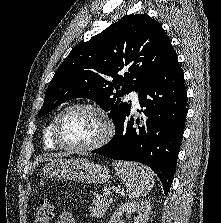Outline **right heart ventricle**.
I'll return each instance as SVG.
<instances>
[{
    "mask_svg": "<svg viewBox=\"0 0 221 223\" xmlns=\"http://www.w3.org/2000/svg\"><path fill=\"white\" fill-rule=\"evenodd\" d=\"M57 115H55L52 120L49 122L44 131V145L47 148H56L57 144L52 139V130L55 123Z\"/></svg>",
    "mask_w": 221,
    "mask_h": 223,
    "instance_id": "1",
    "label": "right heart ventricle"
}]
</instances>
